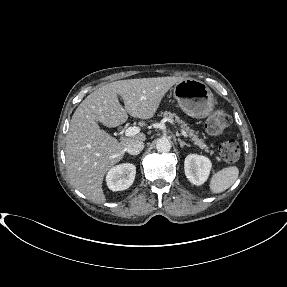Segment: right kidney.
Wrapping results in <instances>:
<instances>
[{
  "label": "right kidney",
  "instance_id": "1",
  "mask_svg": "<svg viewBox=\"0 0 287 287\" xmlns=\"http://www.w3.org/2000/svg\"><path fill=\"white\" fill-rule=\"evenodd\" d=\"M136 167L131 163H123L111 168L106 176L107 186L112 191L129 188L135 179Z\"/></svg>",
  "mask_w": 287,
  "mask_h": 287
}]
</instances>
